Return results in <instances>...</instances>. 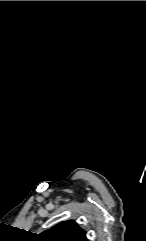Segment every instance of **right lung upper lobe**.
Wrapping results in <instances>:
<instances>
[{"mask_svg": "<svg viewBox=\"0 0 146 241\" xmlns=\"http://www.w3.org/2000/svg\"><path fill=\"white\" fill-rule=\"evenodd\" d=\"M37 241H88L86 233L73 221H63L37 235Z\"/></svg>", "mask_w": 146, "mask_h": 241, "instance_id": "right-lung-upper-lobe-1", "label": "right lung upper lobe"}]
</instances>
